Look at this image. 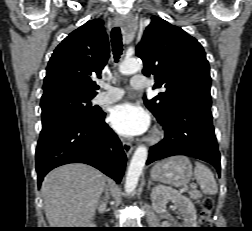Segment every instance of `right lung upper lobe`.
Returning a JSON list of instances; mask_svg holds the SVG:
<instances>
[{
	"instance_id": "cb5924a9",
	"label": "right lung upper lobe",
	"mask_w": 252,
	"mask_h": 231,
	"mask_svg": "<svg viewBox=\"0 0 252 231\" xmlns=\"http://www.w3.org/2000/svg\"><path fill=\"white\" fill-rule=\"evenodd\" d=\"M109 42L100 20H92L70 33L54 50L44 78L42 100L61 94L95 96L100 75L109 58Z\"/></svg>"
}]
</instances>
